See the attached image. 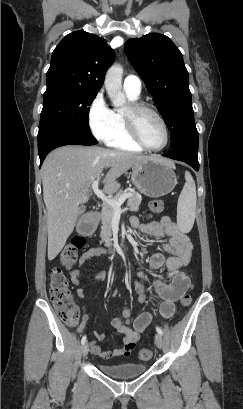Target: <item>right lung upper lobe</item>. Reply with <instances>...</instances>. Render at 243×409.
Wrapping results in <instances>:
<instances>
[{
    "mask_svg": "<svg viewBox=\"0 0 243 409\" xmlns=\"http://www.w3.org/2000/svg\"><path fill=\"white\" fill-rule=\"evenodd\" d=\"M114 58L103 38L85 31L72 32L54 49L47 82L59 81L98 92Z\"/></svg>",
    "mask_w": 243,
    "mask_h": 409,
    "instance_id": "right-lung-upper-lobe-1",
    "label": "right lung upper lobe"
}]
</instances>
